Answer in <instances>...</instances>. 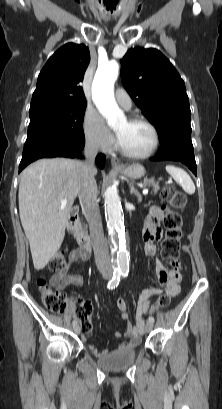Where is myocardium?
I'll return each mask as SVG.
<instances>
[{
    "label": "myocardium",
    "mask_w": 222,
    "mask_h": 409,
    "mask_svg": "<svg viewBox=\"0 0 222 409\" xmlns=\"http://www.w3.org/2000/svg\"><path fill=\"white\" fill-rule=\"evenodd\" d=\"M127 120L131 123H141L149 127V129L151 130L153 134V143L151 147L149 148V150H147L144 153L137 154V153H131L125 150L119 144L118 140H116V149L118 150V152H120L123 156L127 158H131V159H145L153 155L154 152L157 150L159 143H160V135H159L157 127L150 120L142 116H137V115L130 116Z\"/></svg>",
    "instance_id": "myocardium-1"
}]
</instances>
